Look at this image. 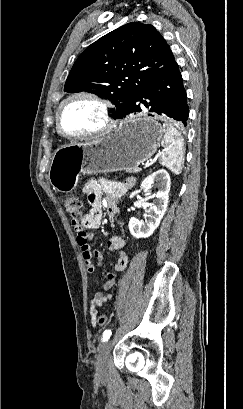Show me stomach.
I'll return each mask as SVG.
<instances>
[{
	"label": "stomach",
	"instance_id": "0dacf381",
	"mask_svg": "<svg viewBox=\"0 0 243 409\" xmlns=\"http://www.w3.org/2000/svg\"><path fill=\"white\" fill-rule=\"evenodd\" d=\"M163 137L153 117L131 116L110 133L86 142L58 148L48 178L59 192L76 188L81 174H97L138 168L156 152Z\"/></svg>",
	"mask_w": 243,
	"mask_h": 409
}]
</instances>
